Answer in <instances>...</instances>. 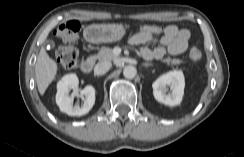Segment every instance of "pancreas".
<instances>
[{
  "label": "pancreas",
  "instance_id": "cf45deb5",
  "mask_svg": "<svg viewBox=\"0 0 244 157\" xmlns=\"http://www.w3.org/2000/svg\"><path fill=\"white\" fill-rule=\"evenodd\" d=\"M119 56L115 55L113 53V50L111 48L108 47H104L101 49L100 52H98L94 58L98 59L99 61H113L118 59ZM162 62L166 63V64H172V65H179L182 63V61L180 59H171L170 57L162 59Z\"/></svg>",
  "mask_w": 244,
  "mask_h": 157
}]
</instances>
